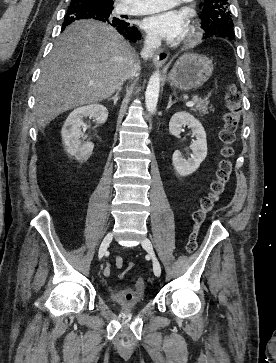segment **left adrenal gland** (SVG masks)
<instances>
[{
    "label": "left adrenal gland",
    "mask_w": 276,
    "mask_h": 363,
    "mask_svg": "<svg viewBox=\"0 0 276 363\" xmlns=\"http://www.w3.org/2000/svg\"><path fill=\"white\" fill-rule=\"evenodd\" d=\"M177 101H172V96L169 97V102H168V105H167V110L170 109V107L175 104Z\"/></svg>",
    "instance_id": "left-adrenal-gland-1"
}]
</instances>
